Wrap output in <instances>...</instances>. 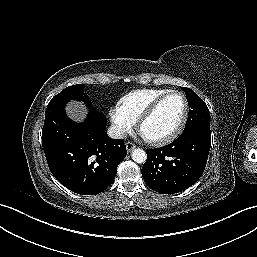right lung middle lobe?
Instances as JSON below:
<instances>
[{"instance_id": "right-lung-middle-lobe-1", "label": "right lung middle lobe", "mask_w": 257, "mask_h": 257, "mask_svg": "<svg viewBox=\"0 0 257 257\" xmlns=\"http://www.w3.org/2000/svg\"><path fill=\"white\" fill-rule=\"evenodd\" d=\"M84 84H77L73 86L66 87L63 91L57 94L48 105L64 102L69 100L83 101L85 104L90 105V100L86 93H84Z\"/></svg>"}]
</instances>
